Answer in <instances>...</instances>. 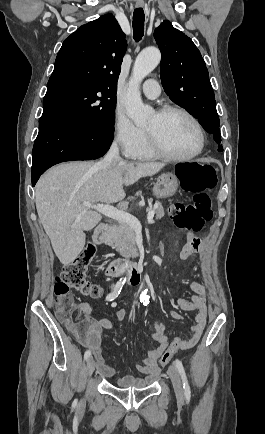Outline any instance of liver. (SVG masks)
Masks as SVG:
<instances>
[{
  "mask_svg": "<svg viewBox=\"0 0 265 434\" xmlns=\"http://www.w3.org/2000/svg\"><path fill=\"white\" fill-rule=\"evenodd\" d=\"M100 162H72L48 170L35 190L39 220L61 264L76 260L85 246L86 236L102 220L101 214L87 210L82 202L114 204L124 200L123 186H131L145 176L158 174L161 162H118L100 168ZM136 166V168H135Z\"/></svg>",
  "mask_w": 265,
  "mask_h": 434,
  "instance_id": "liver-1",
  "label": "liver"
}]
</instances>
